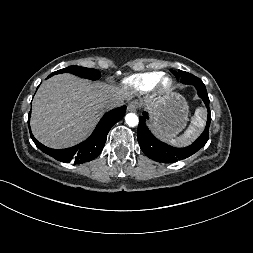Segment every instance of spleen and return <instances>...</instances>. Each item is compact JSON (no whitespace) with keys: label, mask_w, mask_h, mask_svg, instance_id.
<instances>
[{"label":"spleen","mask_w":253,"mask_h":253,"mask_svg":"<svg viewBox=\"0 0 253 253\" xmlns=\"http://www.w3.org/2000/svg\"><path fill=\"white\" fill-rule=\"evenodd\" d=\"M204 117H205V111L202 108L196 109L194 117H192L189 127L186 129V131L182 135L174 139H170L168 137L164 139L168 141L170 144L177 147L188 146L202 132V129L205 125Z\"/></svg>","instance_id":"spleen-1"}]
</instances>
